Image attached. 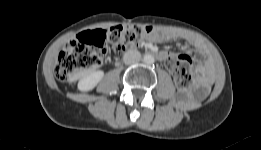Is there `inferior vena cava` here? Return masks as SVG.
<instances>
[{"label": "inferior vena cava", "instance_id": "inferior-vena-cava-1", "mask_svg": "<svg viewBox=\"0 0 261 150\" xmlns=\"http://www.w3.org/2000/svg\"><path fill=\"white\" fill-rule=\"evenodd\" d=\"M140 59L141 54L137 50H128L123 56L124 63L127 65L135 64L139 62Z\"/></svg>", "mask_w": 261, "mask_h": 150}]
</instances>
